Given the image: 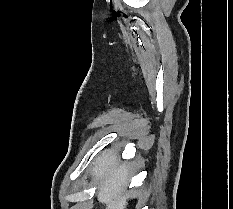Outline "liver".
Here are the masks:
<instances>
[{"mask_svg":"<svg viewBox=\"0 0 233 209\" xmlns=\"http://www.w3.org/2000/svg\"><path fill=\"white\" fill-rule=\"evenodd\" d=\"M128 172L127 164L120 163L115 152L104 151L93 162L92 175L99 181L97 198L106 209H126Z\"/></svg>","mask_w":233,"mask_h":209,"instance_id":"liver-1","label":"liver"}]
</instances>
